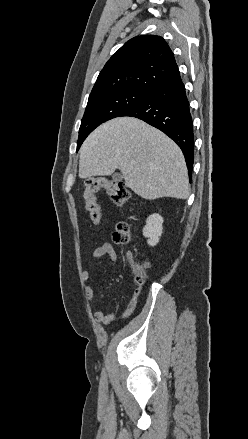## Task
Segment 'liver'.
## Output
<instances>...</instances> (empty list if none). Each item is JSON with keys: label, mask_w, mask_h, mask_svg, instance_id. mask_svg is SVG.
Masks as SVG:
<instances>
[{"label": "liver", "mask_w": 248, "mask_h": 439, "mask_svg": "<svg viewBox=\"0 0 248 439\" xmlns=\"http://www.w3.org/2000/svg\"><path fill=\"white\" fill-rule=\"evenodd\" d=\"M119 169L138 196L186 199L190 187L180 148L158 129L133 117H118L96 128L80 149L79 177L111 175Z\"/></svg>", "instance_id": "liver-1"}]
</instances>
